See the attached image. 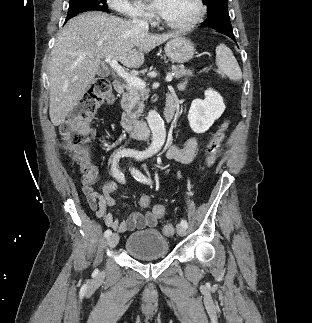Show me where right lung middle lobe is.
<instances>
[{
  "label": "right lung middle lobe",
  "mask_w": 312,
  "mask_h": 323,
  "mask_svg": "<svg viewBox=\"0 0 312 323\" xmlns=\"http://www.w3.org/2000/svg\"><path fill=\"white\" fill-rule=\"evenodd\" d=\"M109 12L106 0H70L66 21L85 11Z\"/></svg>",
  "instance_id": "1"
}]
</instances>
